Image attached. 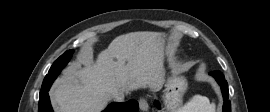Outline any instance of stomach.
Listing matches in <instances>:
<instances>
[{
  "label": "stomach",
  "instance_id": "obj_1",
  "mask_svg": "<svg viewBox=\"0 0 270 112\" xmlns=\"http://www.w3.org/2000/svg\"><path fill=\"white\" fill-rule=\"evenodd\" d=\"M160 44L162 46V57L168 54L170 47L165 34L160 36ZM165 89L163 90L162 99L167 110H174L182 103L184 93L188 88L187 80L184 76L180 75L177 71H173L165 82Z\"/></svg>",
  "mask_w": 270,
  "mask_h": 112
}]
</instances>
